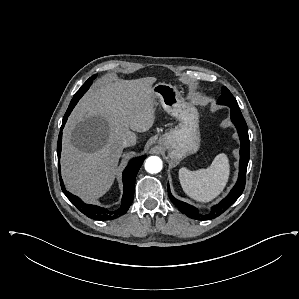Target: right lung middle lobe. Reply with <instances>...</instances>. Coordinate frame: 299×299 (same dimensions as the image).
<instances>
[{"mask_svg":"<svg viewBox=\"0 0 299 299\" xmlns=\"http://www.w3.org/2000/svg\"><path fill=\"white\" fill-rule=\"evenodd\" d=\"M96 75H93L91 78H89L83 86L75 93L73 99H80L83 94L89 89V86L91 85L92 81L95 79Z\"/></svg>","mask_w":299,"mask_h":299,"instance_id":"dd1d6c3e","label":"right lung middle lobe"}]
</instances>
